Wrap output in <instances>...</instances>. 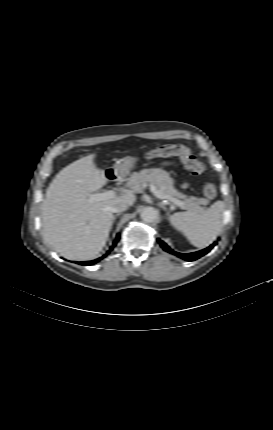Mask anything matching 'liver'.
Returning <instances> with one entry per match:
<instances>
[{
    "label": "liver",
    "mask_w": 273,
    "mask_h": 430,
    "mask_svg": "<svg viewBox=\"0 0 273 430\" xmlns=\"http://www.w3.org/2000/svg\"><path fill=\"white\" fill-rule=\"evenodd\" d=\"M95 154L63 168L53 179L42 203L41 218L46 240L69 260L95 258L106 244L113 223L109 207L117 201L132 206L134 189L114 198L90 203L89 195L107 183Z\"/></svg>",
    "instance_id": "1"
}]
</instances>
